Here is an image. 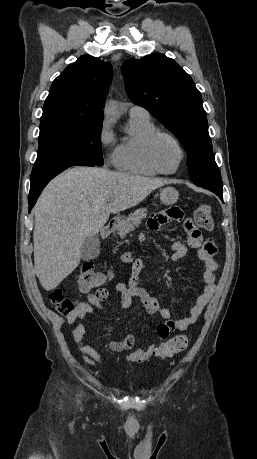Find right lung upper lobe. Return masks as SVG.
Segmentation results:
<instances>
[{
    "label": "right lung upper lobe",
    "mask_w": 257,
    "mask_h": 459,
    "mask_svg": "<svg viewBox=\"0 0 257 459\" xmlns=\"http://www.w3.org/2000/svg\"><path fill=\"white\" fill-rule=\"evenodd\" d=\"M112 77L110 63L81 56L53 81L43 114L62 113L103 120L102 106Z\"/></svg>",
    "instance_id": "obj_1"
}]
</instances>
